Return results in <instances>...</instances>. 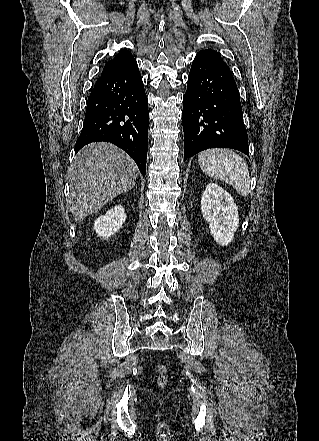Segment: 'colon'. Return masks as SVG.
I'll return each instance as SVG.
<instances>
[{
	"label": "colon",
	"instance_id": "obj_1",
	"mask_svg": "<svg viewBox=\"0 0 319 441\" xmlns=\"http://www.w3.org/2000/svg\"><path fill=\"white\" fill-rule=\"evenodd\" d=\"M159 377L161 381L166 379V368L164 365L159 366Z\"/></svg>",
	"mask_w": 319,
	"mask_h": 441
}]
</instances>
